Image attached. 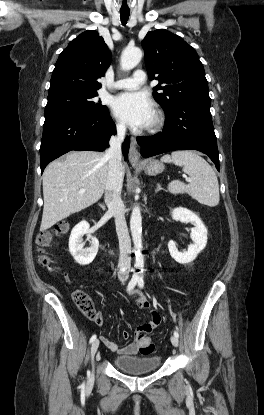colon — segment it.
I'll use <instances>...</instances> for the list:
<instances>
[{"mask_svg": "<svg viewBox=\"0 0 264 415\" xmlns=\"http://www.w3.org/2000/svg\"><path fill=\"white\" fill-rule=\"evenodd\" d=\"M68 225L66 223L59 224L54 234H64L67 231ZM53 234L50 232H42L38 235L37 243L41 249V254L39 256L40 263L45 268H52L55 265L53 258L46 252V249L51 245ZM73 300L76 303L79 310L93 321L99 320V314L96 311L93 301L91 300L88 293L76 290L73 293ZM137 339L142 343L144 351L147 354L152 353L155 350V344L152 339L144 334L140 329L137 330Z\"/></svg>", "mask_w": 264, "mask_h": 415, "instance_id": "1", "label": "colon"}]
</instances>
